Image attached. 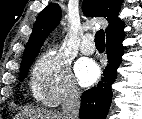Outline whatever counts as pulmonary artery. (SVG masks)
<instances>
[{
  "label": "pulmonary artery",
  "instance_id": "obj_1",
  "mask_svg": "<svg viewBox=\"0 0 142 119\" xmlns=\"http://www.w3.org/2000/svg\"><path fill=\"white\" fill-rule=\"evenodd\" d=\"M80 50L85 55H91L95 51V46L93 44V37L88 34L84 36L80 44Z\"/></svg>",
  "mask_w": 142,
  "mask_h": 119
}]
</instances>
